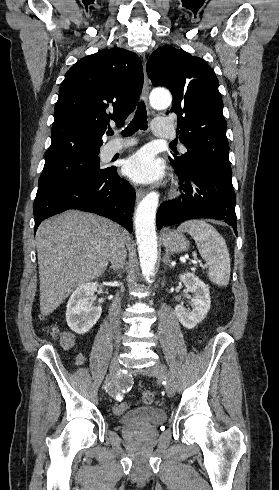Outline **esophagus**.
Masks as SVG:
<instances>
[{
	"instance_id": "1",
	"label": "esophagus",
	"mask_w": 279,
	"mask_h": 490,
	"mask_svg": "<svg viewBox=\"0 0 279 490\" xmlns=\"http://www.w3.org/2000/svg\"><path fill=\"white\" fill-rule=\"evenodd\" d=\"M143 70H144V84H143V90H142V98L145 103L148 101V95H149V90H150V85H149V79L146 73V68H145V62H144V57H143ZM149 115H152L154 111L151 109V107H147ZM145 196V192L141 189L136 191V202L139 203L140 200Z\"/></svg>"
}]
</instances>
